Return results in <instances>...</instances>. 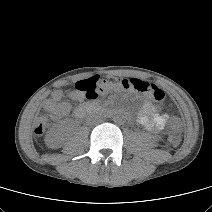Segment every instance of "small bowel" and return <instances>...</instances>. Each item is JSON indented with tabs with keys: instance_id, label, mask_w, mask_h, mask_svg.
Returning a JSON list of instances; mask_svg holds the SVG:
<instances>
[{
	"instance_id": "c3829d8e",
	"label": "small bowel",
	"mask_w": 212,
	"mask_h": 212,
	"mask_svg": "<svg viewBox=\"0 0 212 212\" xmlns=\"http://www.w3.org/2000/svg\"><path fill=\"white\" fill-rule=\"evenodd\" d=\"M63 95L64 92L61 90L54 91L44 103V109L53 120L66 116L71 110L70 103L62 100ZM70 95L73 99H81L80 94L76 92H72ZM168 119L169 116L160 112L159 108L150 101L144 102L137 117L138 123L148 130H162L166 126Z\"/></svg>"
}]
</instances>
